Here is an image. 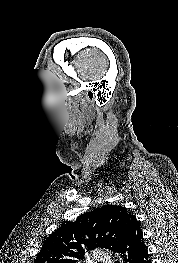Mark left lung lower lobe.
Segmentation results:
<instances>
[{"label": "left lung lower lobe", "instance_id": "0a47b994", "mask_svg": "<svg viewBox=\"0 0 178 263\" xmlns=\"http://www.w3.org/2000/svg\"><path fill=\"white\" fill-rule=\"evenodd\" d=\"M116 252L122 254L124 263H151L142 230L135 216L130 218Z\"/></svg>", "mask_w": 178, "mask_h": 263}]
</instances>
